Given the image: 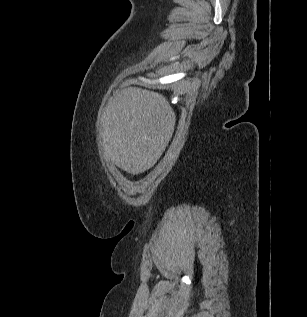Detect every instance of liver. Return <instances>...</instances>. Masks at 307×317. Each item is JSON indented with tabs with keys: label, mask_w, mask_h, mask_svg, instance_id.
I'll use <instances>...</instances> for the list:
<instances>
[{
	"label": "liver",
	"mask_w": 307,
	"mask_h": 317,
	"mask_svg": "<svg viewBox=\"0 0 307 317\" xmlns=\"http://www.w3.org/2000/svg\"><path fill=\"white\" fill-rule=\"evenodd\" d=\"M176 115L159 93L128 87L109 99L102 117L104 151L133 175L157 162L174 132Z\"/></svg>",
	"instance_id": "liver-1"
}]
</instances>
